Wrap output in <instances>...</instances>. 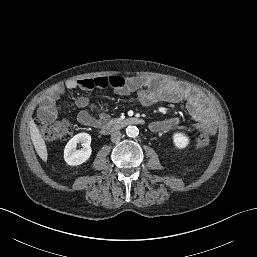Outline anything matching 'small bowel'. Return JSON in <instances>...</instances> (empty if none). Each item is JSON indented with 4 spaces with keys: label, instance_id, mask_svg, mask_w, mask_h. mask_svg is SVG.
Wrapping results in <instances>:
<instances>
[{
    "label": "small bowel",
    "instance_id": "obj_1",
    "mask_svg": "<svg viewBox=\"0 0 257 257\" xmlns=\"http://www.w3.org/2000/svg\"><path fill=\"white\" fill-rule=\"evenodd\" d=\"M92 90L94 88H112L121 97H128L132 93L136 94L137 101L142 106H150L157 102L179 103L185 102L190 116L197 122L194 127L201 128L208 125L211 133L214 132V122L211 111L206 100L196 90L173 81H159L146 77H129L121 76H100L80 80H67L62 84L56 85L41 101L40 114L44 117L51 118L57 115L59 110L56 101L66 89ZM76 105L80 109L77 113V121L89 127H101L108 121L109 116L104 111L105 103H91L85 96L76 99ZM89 109L97 111L94 116ZM179 123L177 117L167 118L155 121L150 125L153 132H165Z\"/></svg>",
    "mask_w": 257,
    "mask_h": 257
}]
</instances>
